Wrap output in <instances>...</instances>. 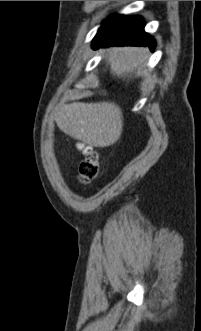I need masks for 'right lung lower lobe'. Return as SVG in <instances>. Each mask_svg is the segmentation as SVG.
Listing matches in <instances>:
<instances>
[{
  "label": "right lung lower lobe",
  "instance_id": "98d812e1",
  "mask_svg": "<svg viewBox=\"0 0 201 331\" xmlns=\"http://www.w3.org/2000/svg\"><path fill=\"white\" fill-rule=\"evenodd\" d=\"M144 25L140 16H110L94 37L92 48L131 45L149 46L154 51L155 40L144 31Z\"/></svg>",
  "mask_w": 201,
  "mask_h": 331
}]
</instances>
